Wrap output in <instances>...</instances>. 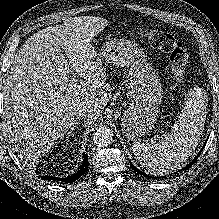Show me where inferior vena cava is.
<instances>
[{
	"mask_svg": "<svg viewBox=\"0 0 219 219\" xmlns=\"http://www.w3.org/2000/svg\"><path fill=\"white\" fill-rule=\"evenodd\" d=\"M91 114V111L86 107H78L75 111L76 119H85L88 118Z\"/></svg>",
	"mask_w": 219,
	"mask_h": 219,
	"instance_id": "obj_1",
	"label": "inferior vena cava"
}]
</instances>
